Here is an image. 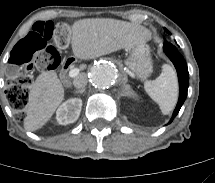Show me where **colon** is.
<instances>
[{"label":"colon","instance_id":"obj_1","mask_svg":"<svg viewBox=\"0 0 215 183\" xmlns=\"http://www.w3.org/2000/svg\"><path fill=\"white\" fill-rule=\"evenodd\" d=\"M68 33V27L64 23L38 22L9 56L7 74L12 79L7 84L6 97L14 110L21 112L28 103L31 77L24 73L25 67L27 72L34 68L56 69L61 57L51 42L64 43Z\"/></svg>","mask_w":215,"mask_h":183}]
</instances>
